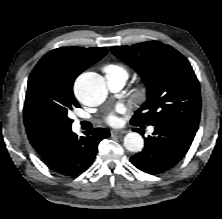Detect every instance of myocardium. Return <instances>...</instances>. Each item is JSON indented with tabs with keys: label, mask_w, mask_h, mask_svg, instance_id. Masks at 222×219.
I'll return each mask as SVG.
<instances>
[{
	"label": "myocardium",
	"mask_w": 222,
	"mask_h": 219,
	"mask_svg": "<svg viewBox=\"0 0 222 219\" xmlns=\"http://www.w3.org/2000/svg\"><path fill=\"white\" fill-rule=\"evenodd\" d=\"M148 94V88L146 84H141L137 90V98L144 99Z\"/></svg>",
	"instance_id": "1"
}]
</instances>
